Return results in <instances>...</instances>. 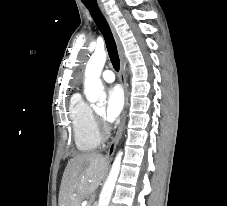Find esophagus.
I'll list each match as a JSON object with an SVG mask.
<instances>
[{
  "mask_svg": "<svg viewBox=\"0 0 227 206\" xmlns=\"http://www.w3.org/2000/svg\"><path fill=\"white\" fill-rule=\"evenodd\" d=\"M98 4H99V8H100L101 12L105 16V18H106V20H107V22H108V24H109V26L112 30V33H113V36H114V39H115V42H116V45H117L119 59H120V81H121L123 89H124V100H125L124 108H123L122 115H121L120 125L118 127V130L116 132L115 137L113 138V140L111 141V143L109 145V148H108V151H107V154H106V157L109 159L113 156L115 149H116V146H117V144L120 140V137H121V134H122V131H123V127H124V123H125V115H126V110H127L128 96H127V86H126L125 75H124V52H123V48H122L120 40L117 36V33L114 29V26L112 25V22H111L109 16L107 15V13L105 11L103 4L100 1L98 2Z\"/></svg>",
  "mask_w": 227,
  "mask_h": 206,
  "instance_id": "34e87169",
  "label": "esophagus"
}]
</instances>
